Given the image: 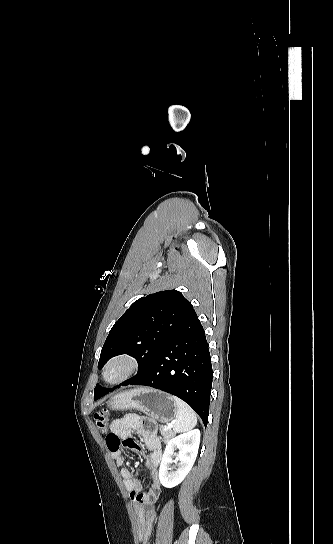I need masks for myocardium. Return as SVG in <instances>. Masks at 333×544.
<instances>
[{"label": "myocardium", "mask_w": 333, "mask_h": 544, "mask_svg": "<svg viewBox=\"0 0 333 544\" xmlns=\"http://www.w3.org/2000/svg\"><path fill=\"white\" fill-rule=\"evenodd\" d=\"M115 367L121 368V373L114 379L109 378V371ZM140 363L138 359L127 353H122L111 357L103 366L102 378L109 385H119L131 379L139 370Z\"/></svg>", "instance_id": "myocardium-1"}]
</instances>
